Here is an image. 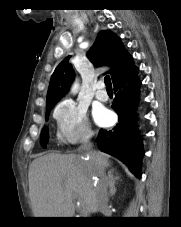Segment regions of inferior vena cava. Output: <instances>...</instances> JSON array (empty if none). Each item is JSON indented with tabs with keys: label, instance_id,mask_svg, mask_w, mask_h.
<instances>
[{
	"label": "inferior vena cava",
	"instance_id": "602c4592",
	"mask_svg": "<svg viewBox=\"0 0 181 227\" xmlns=\"http://www.w3.org/2000/svg\"><path fill=\"white\" fill-rule=\"evenodd\" d=\"M92 137H93V133L91 131L85 135L82 148L88 149L91 147L90 141ZM99 178H100V189L97 195V203H98L99 210L103 211L104 209L107 208V204H108L107 186H109V183L103 172H99Z\"/></svg>",
	"mask_w": 181,
	"mask_h": 227
}]
</instances>
